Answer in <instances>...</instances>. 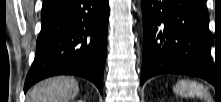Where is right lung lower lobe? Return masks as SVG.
Masks as SVG:
<instances>
[{
  "label": "right lung lower lobe",
  "instance_id": "right-lung-lower-lobe-1",
  "mask_svg": "<svg viewBox=\"0 0 221 102\" xmlns=\"http://www.w3.org/2000/svg\"><path fill=\"white\" fill-rule=\"evenodd\" d=\"M108 19V0H60L43 12L24 92L50 76L76 75L92 81L102 93Z\"/></svg>",
  "mask_w": 221,
  "mask_h": 102
}]
</instances>
